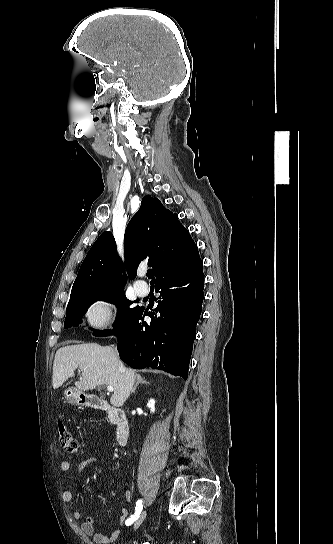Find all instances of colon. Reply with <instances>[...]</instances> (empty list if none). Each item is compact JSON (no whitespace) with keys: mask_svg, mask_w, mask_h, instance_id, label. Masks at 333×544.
<instances>
[{"mask_svg":"<svg viewBox=\"0 0 333 544\" xmlns=\"http://www.w3.org/2000/svg\"><path fill=\"white\" fill-rule=\"evenodd\" d=\"M58 435L59 443L61 447L67 452H76L78 450V442L68 429V427L61 421L58 422Z\"/></svg>","mask_w":333,"mask_h":544,"instance_id":"1","label":"colon"}]
</instances>
